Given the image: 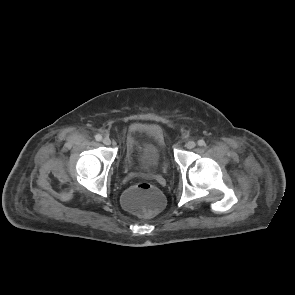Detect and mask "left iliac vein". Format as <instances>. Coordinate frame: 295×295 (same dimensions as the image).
<instances>
[{
    "label": "left iliac vein",
    "mask_w": 295,
    "mask_h": 295,
    "mask_svg": "<svg viewBox=\"0 0 295 295\" xmlns=\"http://www.w3.org/2000/svg\"><path fill=\"white\" fill-rule=\"evenodd\" d=\"M186 147H187L188 149H193V148L196 147V142H194V141H188V142L186 143Z\"/></svg>",
    "instance_id": "1"
}]
</instances>
